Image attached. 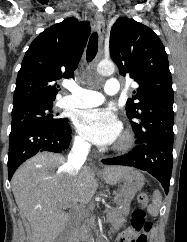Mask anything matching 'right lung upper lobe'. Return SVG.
Segmentation results:
<instances>
[{"label":"right lung upper lobe","mask_w":187,"mask_h":242,"mask_svg":"<svg viewBox=\"0 0 187 242\" xmlns=\"http://www.w3.org/2000/svg\"><path fill=\"white\" fill-rule=\"evenodd\" d=\"M90 24L67 18L43 31L31 43L18 72L14 106L55 100L61 78H72L88 36Z\"/></svg>","instance_id":"1"}]
</instances>
